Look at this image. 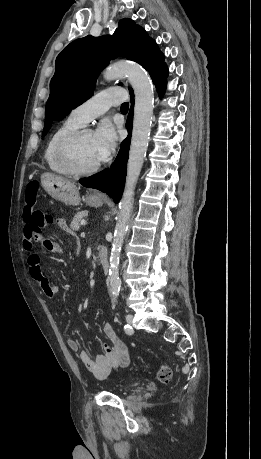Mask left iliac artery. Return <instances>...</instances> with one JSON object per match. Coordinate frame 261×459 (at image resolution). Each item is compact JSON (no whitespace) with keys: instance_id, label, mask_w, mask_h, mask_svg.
<instances>
[{"instance_id":"44dca946","label":"left iliac artery","mask_w":261,"mask_h":459,"mask_svg":"<svg viewBox=\"0 0 261 459\" xmlns=\"http://www.w3.org/2000/svg\"><path fill=\"white\" fill-rule=\"evenodd\" d=\"M124 331L127 333V334H132L133 333V329L132 327L129 325V324H126L124 326Z\"/></svg>"}]
</instances>
